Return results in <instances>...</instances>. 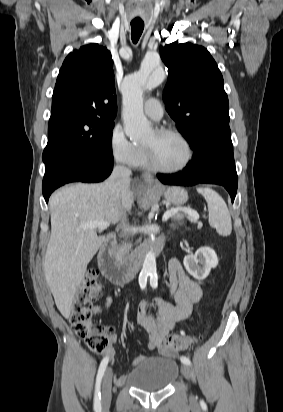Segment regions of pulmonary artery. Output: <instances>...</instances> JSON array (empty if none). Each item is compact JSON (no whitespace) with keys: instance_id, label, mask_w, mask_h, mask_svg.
I'll return each instance as SVG.
<instances>
[{"instance_id":"e3ab8cb5","label":"pulmonary artery","mask_w":283,"mask_h":412,"mask_svg":"<svg viewBox=\"0 0 283 412\" xmlns=\"http://www.w3.org/2000/svg\"><path fill=\"white\" fill-rule=\"evenodd\" d=\"M144 112L147 117L154 121H159L163 117V107L158 98H149L144 105Z\"/></svg>"}]
</instances>
